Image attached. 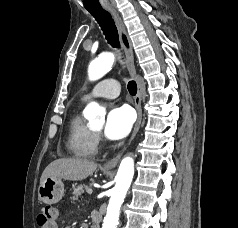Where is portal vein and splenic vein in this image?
Listing matches in <instances>:
<instances>
[{"instance_id": "obj_1", "label": "portal vein and splenic vein", "mask_w": 238, "mask_h": 228, "mask_svg": "<svg viewBox=\"0 0 238 228\" xmlns=\"http://www.w3.org/2000/svg\"><path fill=\"white\" fill-rule=\"evenodd\" d=\"M87 193H88V194H92V190L89 189V190L87 191Z\"/></svg>"}]
</instances>
